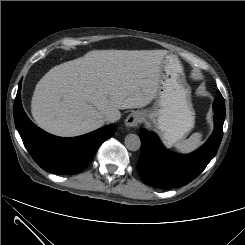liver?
<instances>
[{"label":"liver","instance_id":"obj_1","mask_svg":"<svg viewBox=\"0 0 245 245\" xmlns=\"http://www.w3.org/2000/svg\"><path fill=\"white\" fill-rule=\"evenodd\" d=\"M166 50H92L50 69L31 101L36 124L74 137L104 125L110 111L142 108L157 97ZM120 113V112H119Z\"/></svg>","mask_w":245,"mask_h":245}]
</instances>
